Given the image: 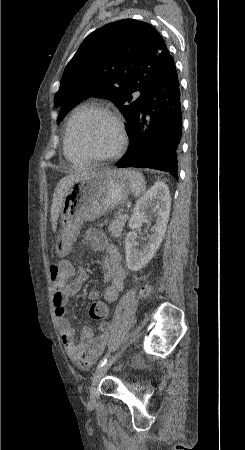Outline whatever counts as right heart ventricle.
<instances>
[{
  "label": "right heart ventricle",
  "mask_w": 245,
  "mask_h": 450,
  "mask_svg": "<svg viewBox=\"0 0 245 450\" xmlns=\"http://www.w3.org/2000/svg\"><path fill=\"white\" fill-rule=\"evenodd\" d=\"M96 109H98V108L91 102L81 104L75 108V110L73 111V113L71 115V118H82L85 115L89 114L90 112H92L93 110H96ZM71 118H70V120H71ZM70 120H69V122H70ZM64 153H65V156L73 162L83 163V162L87 161V158L84 157L77 150H75L71 143V137H70V133H69V123H68L67 129L65 132V137H64Z\"/></svg>",
  "instance_id": "right-heart-ventricle-1"
}]
</instances>
